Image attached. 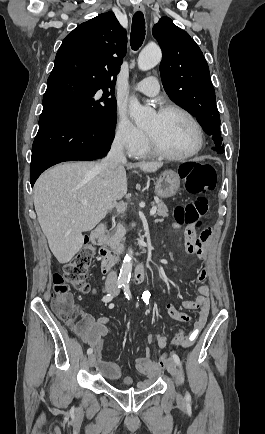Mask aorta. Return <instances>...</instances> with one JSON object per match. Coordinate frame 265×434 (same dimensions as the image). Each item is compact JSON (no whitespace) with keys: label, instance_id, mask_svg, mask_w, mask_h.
<instances>
[{"label":"aorta","instance_id":"762f6f07","mask_svg":"<svg viewBox=\"0 0 265 434\" xmlns=\"http://www.w3.org/2000/svg\"><path fill=\"white\" fill-rule=\"evenodd\" d=\"M161 60V50L158 46H146L138 56V68L142 72H147L151 68H155ZM130 118L134 120L136 126H146L148 120L152 116L151 108L141 106L137 98H130L129 106ZM133 252H127L119 274V282H129L133 268L132 264Z\"/></svg>","mask_w":265,"mask_h":434}]
</instances>
